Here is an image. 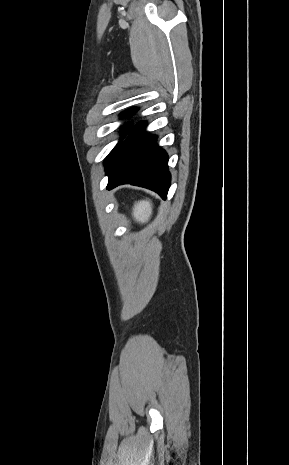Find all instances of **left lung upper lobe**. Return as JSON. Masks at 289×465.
I'll return each instance as SVG.
<instances>
[{
  "label": "left lung upper lobe",
  "mask_w": 289,
  "mask_h": 465,
  "mask_svg": "<svg viewBox=\"0 0 289 465\" xmlns=\"http://www.w3.org/2000/svg\"><path fill=\"white\" fill-rule=\"evenodd\" d=\"M136 111H137V109H135V108H134V109H129L128 111L124 112L121 116H122V117H130V116L133 115ZM130 130H131V127L125 128L124 130L121 131V136H125ZM117 146H118V145H117ZM117 146H116V147H117ZM116 147H115V148H116ZM115 148H114V149H115ZM114 149H113V150H114ZM113 150H112V151H113ZM112 151H111V153H112ZM111 153H110V154H111ZM110 154H109V155H110Z\"/></svg>",
  "instance_id": "obj_1"
}]
</instances>
